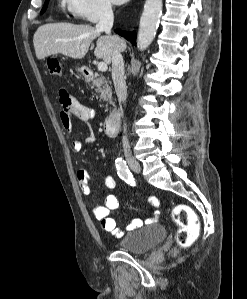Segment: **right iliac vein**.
Listing matches in <instances>:
<instances>
[{
  "instance_id": "1",
  "label": "right iliac vein",
  "mask_w": 247,
  "mask_h": 299,
  "mask_svg": "<svg viewBox=\"0 0 247 299\" xmlns=\"http://www.w3.org/2000/svg\"><path fill=\"white\" fill-rule=\"evenodd\" d=\"M126 159L129 166L134 172L139 173L141 171V166L139 162L132 155L130 154L126 155Z\"/></svg>"
}]
</instances>
